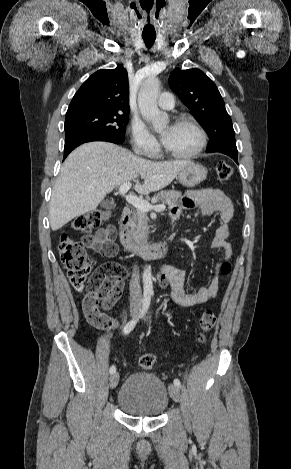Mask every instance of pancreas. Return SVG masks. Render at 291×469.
Wrapping results in <instances>:
<instances>
[{"label": "pancreas", "mask_w": 291, "mask_h": 469, "mask_svg": "<svg viewBox=\"0 0 291 469\" xmlns=\"http://www.w3.org/2000/svg\"><path fill=\"white\" fill-rule=\"evenodd\" d=\"M180 197L181 192L179 191L165 190L155 194L153 199L161 201L172 207L177 204ZM148 221L149 218L146 212L138 209L133 212V217L129 222V234L134 242L145 243L147 241V235L149 233Z\"/></svg>", "instance_id": "pancreas-1"}]
</instances>
